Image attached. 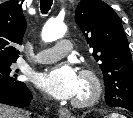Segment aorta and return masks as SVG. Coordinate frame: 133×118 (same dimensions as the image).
Masks as SVG:
<instances>
[{"label":"aorta","instance_id":"762f6f07","mask_svg":"<svg viewBox=\"0 0 133 118\" xmlns=\"http://www.w3.org/2000/svg\"><path fill=\"white\" fill-rule=\"evenodd\" d=\"M66 26L63 23L56 21L47 22L41 33L42 40L44 42H53L62 38L66 33Z\"/></svg>","mask_w":133,"mask_h":118}]
</instances>
